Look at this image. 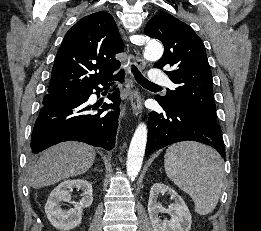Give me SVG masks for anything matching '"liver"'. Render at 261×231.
Returning <instances> with one entry per match:
<instances>
[{
    "label": "liver",
    "instance_id": "6515ba94",
    "mask_svg": "<svg viewBox=\"0 0 261 231\" xmlns=\"http://www.w3.org/2000/svg\"><path fill=\"white\" fill-rule=\"evenodd\" d=\"M93 147L79 142H63L46 150L30 169L29 183L34 189L53 185L85 173L94 163Z\"/></svg>",
    "mask_w": 261,
    "mask_h": 231
}]
</instances>
